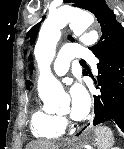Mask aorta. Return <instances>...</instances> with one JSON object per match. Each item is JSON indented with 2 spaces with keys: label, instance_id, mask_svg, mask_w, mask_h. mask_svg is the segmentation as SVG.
Returning a JSON list of instances; mask_svg holds the SVG:
<instances>
[{
  "label": "aorta",
  "instance_id": "1",
  "mask_svg": "<svg viewBox=\"0 0 124 149\" xmlns=\"http://www.w3.org/2000/svg\"><path fill=\"white\" fill-rule=\"evenodd\" d=\"M94 23L93 16L77 9H58L48 15L41 26L39 38L35 47V56L41 69L38 83V93L46 106L58 109L64 90L60 83L52 76L49 70L50 63L55 55V48L61 36V29L69 25L74 33L80 35ZM82 42L92 45L98 40V33L92 30L85 33Z\"/></svg>",
  "mask_w": 124,
  "mask_h": 149
}]
</instances>
